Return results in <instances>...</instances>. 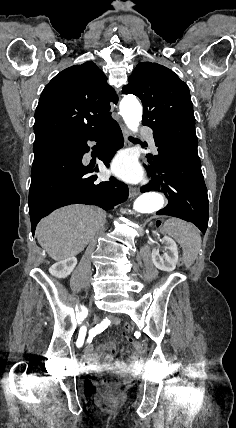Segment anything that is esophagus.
Segmentation results:
<instances>
[{
	"mask_svg": "<svg viewBox=\"0 0 236 428\" xmlns=\"http://www.w3.org/2000/svg\"><path fill=\"white\" fill-rule=\"evenodd\" d=\"M121 130H122V133H123V136H124V139H125V145H127V144H129L128 138L130 136V132L128 131V129L126 128V126L123 125V124H121ZM138 193H139V191H138L137 187L131 186L129 188V196L130 197H135V196L138 195Z\"/></svg>",
	"mask_w": 236,
	"mask_h": 428,
	"instance_id": "34e87169",
	"label": "esophagus"
}]
</instances>
